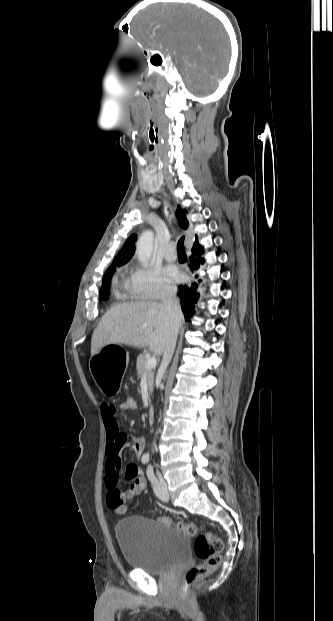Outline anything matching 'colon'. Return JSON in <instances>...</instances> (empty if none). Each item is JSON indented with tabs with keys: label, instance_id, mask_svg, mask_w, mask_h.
<instances>
[{
	"label": "colon",
	"instance_id": "obj_1",
	"mask_svg": "<svg viewBox=\"0 0 333 621\" xmlns=\"http://www.w3.org/2000/svg\"><path fill=\"white\" fill-rule=\"evenodd\" d=\"M120 405L124 411L133 412L138 408V401L133 393H128L121 397ZM114 510L118 514H124L126 506L121 503ZM159 520L165 524H174L168 517H160ZM176 527L188 536L195 538V555L201 560L200 564L191 567L186 573L183 586V594L185 595L195 581L205 578L219 568L222 561L223 542L210 531L200 532L198 526L194 523L179 522L176 523Z\"/></svg>",
	"mask_w": 333,
	"mask_h": 621
}]
</instances>
